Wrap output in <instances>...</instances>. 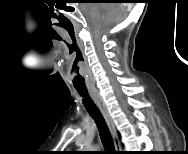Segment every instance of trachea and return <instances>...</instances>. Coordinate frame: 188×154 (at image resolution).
Masks as SVG:
<instances>
[{
  "instance_id": "trachea-1",
  "label": "trachea",
  "mask_w": 188,
  "mask_h": 154,
  "mask_svg": "<svg viewBox=\"0 0 188 154\" xmlns=\"http://www.w3.org/2000/svg\"><path fill=\"white\" fill-rule=\"evenodd\" d=\"M78 93L80 94L81 97H83V103H84L87 111L92 116V118L94 119V121L97 125L98 131L100 134V138H101L104 150H105L103 152L105 154H116L117 151L115 150V146L113 143L111 133L109 131L106 121H105L102 113L100 112L99 108L96 106L94 101L91 99L87 90L86 91L78 90Z\"/></svg>"
}]
</instances>
